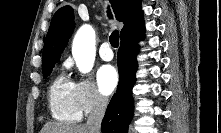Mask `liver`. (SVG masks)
<instances>
[{"label": "liver", "instance_id": "1", "mask_svg": "<svg viewBox=\"0 0 221 133\" xmlns=\"http://www.w3.org/2000/svg\"><path fill=\"white\" fill-rule=\"evenodd\" d=\"M40 133H90L86 125L71 123H46Z\"/></svg>", "mask_w": 221, "mask_h": 133}]
</instances>
